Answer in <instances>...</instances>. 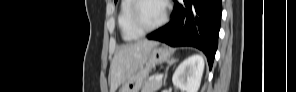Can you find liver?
Returning a JSON list of instances; mask_svg holds the SVG:
<instances>
[{"instance_id": "6515ba94", "label": "liver", "mask_w": 296, "mask_h": 92, "mask_svg": "<svg viewBox=\"0 0 296 92\" xmlns=\"http://www.w3.org/2000/svg\"><path fill=\"white\" fill-rule=\"evenodd\" d=\"M157 45L155 41L141 40L121 46L110 65V92H115L119 85L142 68L152 48Z\"/></svg>"}]
</instances>
